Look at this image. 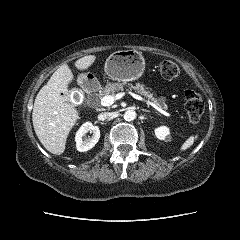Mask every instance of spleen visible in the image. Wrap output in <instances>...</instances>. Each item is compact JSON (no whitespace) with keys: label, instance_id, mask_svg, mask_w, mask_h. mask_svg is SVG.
Instances as JSON below:
<instances>
[{"label":"spleen","instance_id":"3e777b00","mask_svg":"<svg viewBox=\"0 0 240 240\" xmlns=\"http://www.w3.org/2000/svg\"><path fill=\"white\" fill-rule=\"evenodd\" d=\"M198 135H191L180 147V151H185L187 149H189L194 142L197 140Z\"/></svg>","mask_w":240,"mask_h":240}]
</instances>
